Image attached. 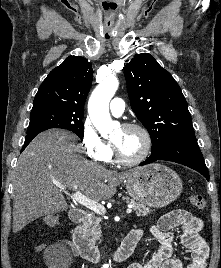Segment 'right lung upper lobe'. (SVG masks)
Listing matches in <instances>:
<instances>
[{
  "label": "right lung upper lobe",
  "instance_id": "obj_1",
  "mask_svg": "<svg viewBox=\"0 0 221 268\" xmlns=\"http://www.w3.org/2000/svg\"><path fill=\"white\" fill-rule=\"evenodd\" d=\"M92 79L91 64L83 57L69 56L40 85L32 111L64 109L84 113Z\"/></svg>",
  "mask_w": 221,
  "mask_h": 268
}]
</instances>
